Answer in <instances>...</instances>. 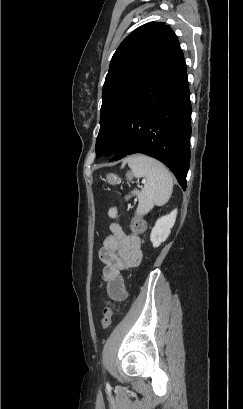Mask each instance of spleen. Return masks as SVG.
Wrapping results in <instances>:
<instances>
[{
	"mask_svg": "<svg viewBox=\"0 0 243 409\" xmlns=\"http://www.w3.org/2000/svg\"><path fill=\"white\" fill-rule=\"evenodd\" d=\"M127 163L136 178L144 177L146 179L141 191L131 192L132 195L138 197L137 215H145L155 205L160 206L168 202L173 190V177L162 163L140 154L129 157ZM130 197L131 195L126 196V199ZM108 215L111 218H116L117 209L110 208Z\"/></svg>",
	"mask_w": 243,
	"mask_h": 409,
	"instance_id": "obj_1",
	"label": "spleen"
}]
</instances>
